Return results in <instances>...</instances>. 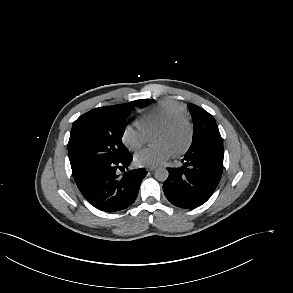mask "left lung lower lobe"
Masks as SVG:
<instances>
[{
  "instance_id": "left-lung-lower-lobe-1",
  "label": "left lung lower lobe",
  "mask_w": 293,
  "mask_h": 293,
  "mask_svg": "<svg viewBox=\"0 0 293 293\" xmlns=\"http://www.w3.org/2000/svg\"><path fill=\"white\" fill-rule=\"evenodd\" d=\"M181 162V168H168L164 194L173 205L193 209L215 191L223 171V152L200 147L187 152Z\"/></svg>"
}]
</instances>
